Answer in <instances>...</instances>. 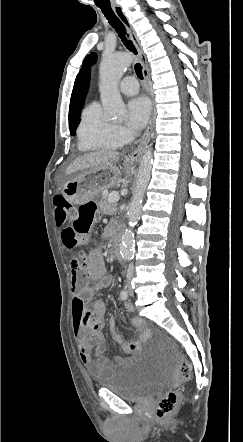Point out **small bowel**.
<instances>
[{
	"label": "small bowel",
	"instance_id": "small-bowel-1",
	"mask_svg": "<svg viewBox=\"0 0 243 442\" xmlns=\"http://www.w3.org/2000/svg\"><path fill=\"white\" fill-rule=\"evenodd\" d=\"M111 229L105 231L108 235ZM71 283L73 289V330L78 344L79 356L89 373L94 378H100L125 364L129 358L116 355L109 358L105 355L106 343L102 336L104 316L107 313V304L98 300L88 304L94 290L107 287L112 279L106 274L103 256L100 251H91L82 259H73L70 263ZM94 282L91 287L90 283ZM126 308L133 307L126 304ZM132 324L142 332L138 340L127 342L116 331V321L111 318L109 329L112 339L120 345L126 354L140 350L149 330L142 319L135 317Z\"/></svg>",
	"mask_w": 243,
	"mask_h": 442
}]
</instances>
